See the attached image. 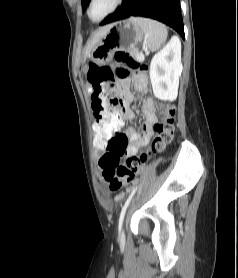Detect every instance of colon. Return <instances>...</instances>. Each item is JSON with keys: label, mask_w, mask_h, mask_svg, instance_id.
<instances>
[{"label": "colon", "mask_w": 238, "mask_h": 278, "mask_svg": "<svg viewBox=\"0 0 238 278\" xmlns=\"http://www.w3.org/2000/svg\"><path fill=\"white\" fill-rule=\"evenodd\" d=\"M115 62L122 65L117 72L113 71V67L99 66L95 63H90L87 71V79L93 88L92 107L98 123L92 124V129H101L91 131V134L97 137L96 141H93V146L94 149H105V154L100 159V167L111 191L119 190L134 180L150 154L163 151L173 138L175 114L172 105H159L158 110L162 119L154 124L155 136L147 153L125 157L128 144H108V141H105L106 137L119 134L122 124V104L118 97L115 76H122L124 79L132 69H139L137 78L145 80L147 89L150 88L146 78L147 66L138 65L125 52H117ZM118 199H122V195H119Z\"/></svg>", "instance_id": "1"}]
</instances>
